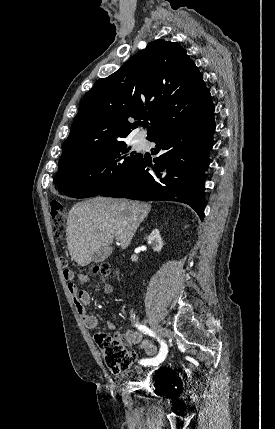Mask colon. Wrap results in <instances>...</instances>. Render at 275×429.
I'll return each mask as SVG.
<instances>
[{"label":"colon","instance_id":"obj_1","mask_svg":"<svg viewBox=\"0 0 275 429\" xmlns=\"http://www.w3.org/2000/svg\"><path fill=\"white\" fill-rule=\"evenodd\" d=\"M51 230L56 238H61L66 230V212L64 205L59 201H52L50 205ZM60 264L67 269V261L60 258ZM113 272L110 264L104 263L92 268V274L105 279ZM95 341L100 348L102 357L108 369L113 373H118L130 367L133 355L126 350L124 342L117 336H110L104 333L95 335Z\"/></svg>","mask_w":275,"mask_h":429}]
</instances>
